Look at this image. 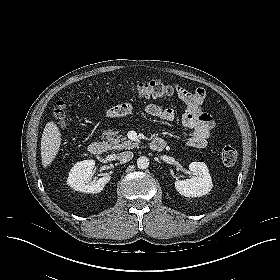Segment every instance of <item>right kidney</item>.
I'll list each match as a JSON object with an SVG mask.
<instances>
[{
	"label": "right kidney",
	"mask_w": 280,
	"mask_h": 280,
	"mask_svg": "<svg viewBox=\"0 0 280 280\" xmlns=\"http://www.w3.org/2000/svg\"><path fill=\"white\" fill-rule=\"evenodd\" d=\"M94 160L77 162L69 172L67 184L74 190L83 193H99L110 181L111 177L105 175L99 179L91 180Z\"/></svg>",
	"instance_id": "ca27d5eb"
}]
</instances>
